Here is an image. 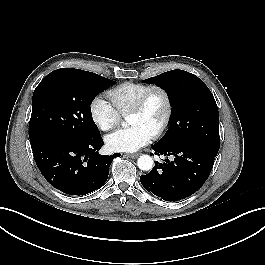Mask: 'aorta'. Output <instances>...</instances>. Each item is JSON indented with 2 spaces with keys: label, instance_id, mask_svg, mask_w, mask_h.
<instances>
[{
  "label": "aorta",
  "instance_id": "aorta-1",
  "mask_svg": "<svg viewBox=\"0 0 265 265\" xmlns=\"http://www.w3.org/2000/svg\"><path fill=\"white\" fill-rule=\"evenodd\" d=\"M153 159L149 155H141L137 160L139 169L149 171L153 168Z\"/></svg>",
  "mask_w": 265,
  "mask_h": 265
}]
</instances>
